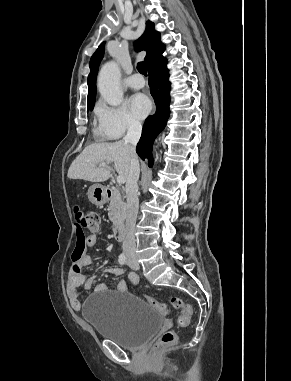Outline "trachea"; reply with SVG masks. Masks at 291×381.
<instances>
[{"mask_svg":"<svg viewBox=\"0 0 291 381\" xmlns=\"http://www.w3.org/2000/svg\"><path fill=\"white\" fill-rule=\"evenodd\" d=\"M137 70H138L141 74L147 76V69H146V65H145L144 62H139V63L137 64Z\"/></svg>","mask_w":291,"mask_h":381,"instance_id":"trachea-1","label":"trachea"}]
</instances>
